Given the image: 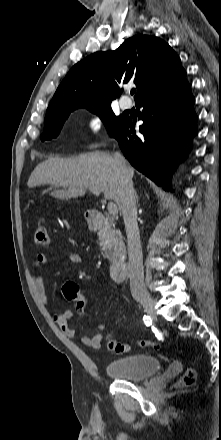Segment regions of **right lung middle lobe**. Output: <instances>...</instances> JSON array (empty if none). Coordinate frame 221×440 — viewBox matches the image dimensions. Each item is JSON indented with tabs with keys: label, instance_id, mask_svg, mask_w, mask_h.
Wrapping results in <instances>:
<instances>
[{
	"label": "right lung middle lobe",
	"instance_id": "dd1d6c3e",
	"mask_svg": "<svg viewBox=\"0 0 221 440\" xmlns=\"http://www.w3.org/2000/svg\"><path fill=\"white\" fill-rule=\"evenodd\" d=\"M77 108H87L91 112L97 114L103 123L105 124L110 136H113L117 129L121 126L125 117L115 116L110 104L89 107L86 105H70L59 109H54L46 112V117L44 121V131L41 135V140H50L56 138L60 130L63 127L65 120L68 118L69 114Z\"/></svg>",
	"mask_w": 221,
	"mask_h": 440
}]
</instances>
